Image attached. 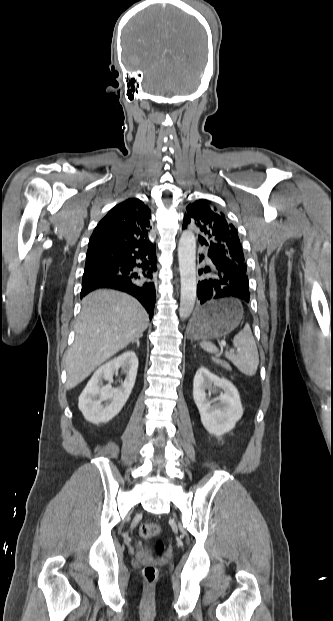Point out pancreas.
I'll return each mask as SVG.
<instances>
[{"mask_svg": "<svg viewBox=\"0 0 333 621\" xmlns=\"http://www.w3.org/2000/svg\"><path fill=\"white\" fill-rule=\"evenodd\" d=\"M213 361H214L216 364L221 365V366H222L223 368H225L226 370L231 371V366H230L227 362H225V361H223V360H220V359H218V358H216V357H214V358H213Z\"/></svg>", "mask_w": 333, "mask_h": 621, "instance_id": "pancreas-1", "label": "pancreas"}]
</instances>
